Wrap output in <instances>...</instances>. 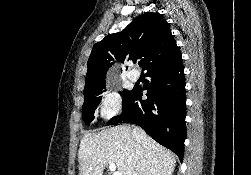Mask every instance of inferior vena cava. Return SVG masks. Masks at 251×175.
Instances as JSON below:
<instances>
[{
  "label": "inferior vena cava",
  "mask_w": 251,
  "mask_h": 175,
  "mask_svg": "<svg viewBox=\"0 0 251 175\" xmlns=\"http://www.w3.org/2000/svg\"><path fill=\"white\" fill-rule=\"evenodd\" d=\"M141 131H142V129H140V127H133V129H132V133H133L134 137H140ZM135 175H137V173H135Z\"/></svg>",
  "instance_id": "1"
}]
</instances>
